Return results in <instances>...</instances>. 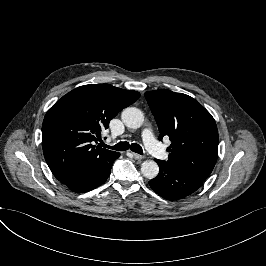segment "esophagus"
Wrapping results in <instances>:
<instances>
[{
	"mask_svg": "<svg viewBox=\"0 0 266 266\" xmlns=\"http://www.w3.org/2000/svg\"><path fill=\"white\" fill-rule=\"evenodd\" d=\"M132 155H133L134 159H136V160H141L144 158L142 155H139L138 153L132 152Z\"/></svg>",
	"mask_w": 266,
	"mask_h": 266,
	"instance_id": "1",
	"label": "esophagus"
}]
</instances>
